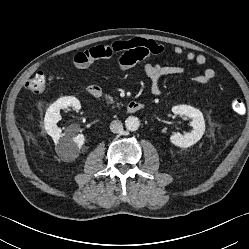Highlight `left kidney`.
Listing matches in <instances>:
<instances>
[{"instance_id":"1","label":"left kidney","mask_w":249,"mask_h":249,"mask_svg":"<svg viewBox=\"0 0 249 249\" xmlns=\"http://www.w3.org/2000/svg\"><path fill=\"white\" fill-rule=\"evenodd\" d=\"M172 112L176 115H186L192 119V131L182 135L174 133L170 137V141L181 148H187L196 144L205 132V120L202 112L189 105H177L172 107Z\"/></svg>"}]
</instances>
